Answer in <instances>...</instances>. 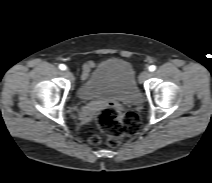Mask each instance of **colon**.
<instances>
[{"mask_svg":"<svg viewBox=\"0 0 212 183\" xmlns=\"http://www.w3.org/2000/svg\"><path fill=\"white\" fill-rule=\"evenodd\" d=\"M94 123L111 146L119 145L127 136L136 135L141 129V120L136 113L121 112L114 105H108L96 114ZM91 142L98 145L100 137L93 136Z\"/></svg>","mask_w":212,"mask_h":183,"instance_id":"5ec220e1","label":"colon"}]
</instances>
